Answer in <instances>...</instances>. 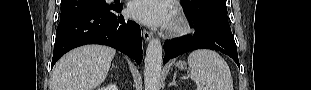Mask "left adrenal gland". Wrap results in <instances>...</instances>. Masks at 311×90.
<instances>
[{
  "label": "left adrenal gland",
  "mask_w": 311,
  "mask_h": 90,
  "mask_svg": "<svg viewBox=\"0 0 311 90\" xmlns=\"http://www.w3.org/2000/svg\"><path fill=\"white\" fill-rule=\"evenodd\" d=\"M175 79H176V74H174L173 80H172V82L169 83V86H177Z\"/></svg>",
  "instance_id": "1"
}]
</instances>
